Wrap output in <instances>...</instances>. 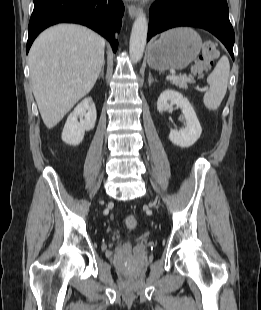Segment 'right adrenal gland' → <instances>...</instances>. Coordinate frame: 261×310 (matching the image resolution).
<instances>
[{"instance_id": "obj_1", "label": "right adrenal gland", "mask_w": 261, "mask_h": 310, "mask_svg": "<svg viewBox=\"0 0 261 310\" xmlns=\"http://www.w3.org/2000/svg\"><path fill=\"white\" fill-rule=\"evenodd\" d=\"M104 65H105V62L103 63L102 68H101V72L99 74V78L101 77L102 79H104Z\"/></svg>"}]
</instances>
